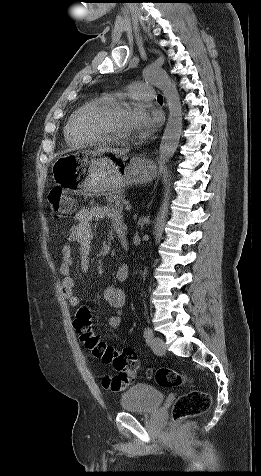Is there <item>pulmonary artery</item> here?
Returning <instances> with one entry per match:
<instances>
[{
    "label": "pulmonary artery",
    "mask_w": 261,
    "mask_h": 476,
    "mask_svg": "<svg viewBox=\"0 0 261 476\" xmlns=\"http://www.w3.org/2000/svg\"><path fill=\"white\" fill-rule=\"evenodd\" d=\"M128 95L138 100H153L155 98L152 85L143 82H134L128 87Z\"/></svg>",
    "instance_id": "e3ab8cb5"
}]
</instances>
